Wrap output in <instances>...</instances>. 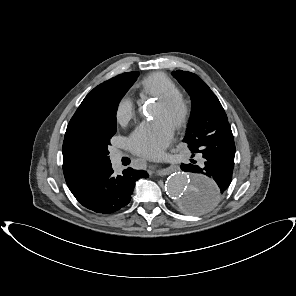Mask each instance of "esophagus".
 Wrapping results in <instances>:
<instances>
[{
	"label": "esophagus",
	"instance_id": "34e87169",
	"mask_svg": "<svg viewBox=\"0 0 296 296\" xmlns=\"http://www.w3.org/2000/svg\"><path fill=\"white\" fill-rule=\"evenodd\" d=\"M171 163L169 164H157L154 162L153 158L149 161L148 167L149 170L158 176H165L168 175L173 171L172 168H170Z\"/></svg>",
	"mask_w": 296,
	"mask_h": 296
}]
</instances>
